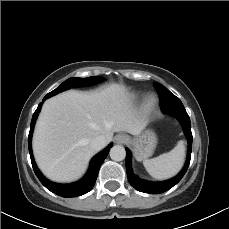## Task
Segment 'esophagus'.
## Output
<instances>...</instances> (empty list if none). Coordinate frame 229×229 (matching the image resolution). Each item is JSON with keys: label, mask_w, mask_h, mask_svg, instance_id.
<instances>
[{"label": "esophagus", "mask_w": 229, "mask_h": 229, "mask_svg": "<svg viewBox=\"0 0 229 229\" xmlns=\"http://www.w3.org/2000/svg\"><path fill=\"white\" fill-rule=\"evenodd\" d=\"M115 141L116 143H125L128 141V136L125 135V134H118L116 137H115Z\"/></svg>", "instance_id": "1"}]
</instances>
